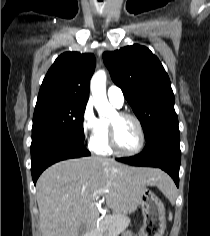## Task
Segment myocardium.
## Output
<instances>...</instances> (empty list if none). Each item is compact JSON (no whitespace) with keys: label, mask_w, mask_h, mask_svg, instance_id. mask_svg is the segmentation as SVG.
I'll list each match as a JSON object with an SVG mask.
<instances>
[{"label":"myocardium","mask_w":210,"mask_h":236,"mask_svg":"<svg viewBox=\"0 0 210 236\" xmlns=\"http://www.w3.org/2000/svg\"><path fill=\"white\" fill-rule=\"evenodd\" d=\"M116 115L118 118H130L133 121H135L138 127V131H139V144L132 151L122 150L117 143L115 123L112 120H109V135L108 136H109V145L112 151L121 156H134L140 153L142 149L144 148L145 141H146L145 131H144L142 122L136 115L129 112H118L116 113Z\"/></svg>","instance_id":"myocardium-1"}]
</instances>
